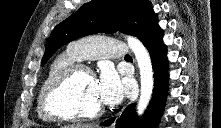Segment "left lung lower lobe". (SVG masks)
<instances>
[{
  "label": "left lung lower lobe",
  "mask_w": 221,
  "mask_h": 128,
  "mask_svg": "<svg viewBox=\"0 0 221 128\" xmlns=\"http://www.w3.org/2000/svg\"><path fill=\"white\" fill-rule=\"evenodd\" d=\"M147 47L155 71L154 95L148 109L139 123L135 122V104L129 105L116 121V128H155L160 121L164 101L167 95L168 84V61L166 58L167 49L163 43V31L158 23L154 25L151 32L143 42ZM115 118H111L101 125L109 126Z\"/></svg>",
  "instance_id": "left-lung-lower-lobe-1"
}]
</instances>
